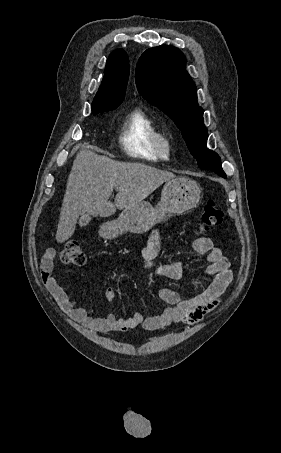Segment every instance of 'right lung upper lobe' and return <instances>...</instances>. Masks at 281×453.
Wrapping results in <instances>:
<instances>
[{
  "label": "right lung upper lobe",
  "instance_id": "cb5924a9",
  "mask_svg": "<svg viewBox=\"0 0 281 453\" xmlns=\"http://www.w3.org/2000/svg\"><path fill=\"white\" fill-rule=\"evenodd\" d=\"M129 77V59L123 49L112 52L105 74L92 102L93 115L116 109L124 100Z\"/></svg>",
  "mask_w": 281,
  "mask_h": 453
}]
</instances>
